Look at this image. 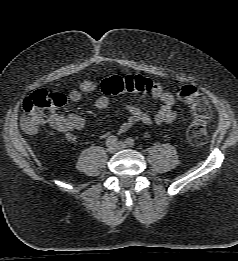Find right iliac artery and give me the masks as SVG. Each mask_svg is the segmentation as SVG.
<instances>
[{"label": "right iliac artery", "instance_id": "right-iliac-artery-1", "mask_svg": "<svg viewBox=\"0 0 238 261\" xmlns=\"http://www.w3.org/2000/svg\"><path fill=\"white\" fill-rule=\"evenodd\" d=\"M117 140L118 138L114 135L112 136H109L106 140V145L109 147V146H112V145H116L117 143Z\"/></svg>", "mask_w": 238, "mask_h": 261}]
</instances>
